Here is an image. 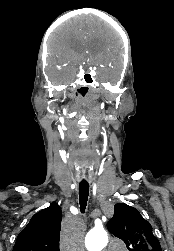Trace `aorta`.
Returning a JSON list of instances; mask_svg holds the SVG:
<instances>
[{"label": "aorta", "mask_w": 174, "mask_h": 251, "mask_svg": "<svg viewBox=\"0 0 174 251\" xmlns=\"http://www.w3.org/2000/svg\"><path fill=\"white\" fill-rule=\"evenodd\" d=\"M108 243V236L104 230L93 229L85 237V246L88 251H101Z\"/></svg>", "instance_id": "1"}]
</instances>
